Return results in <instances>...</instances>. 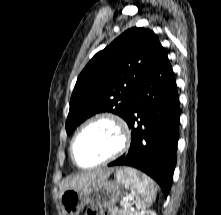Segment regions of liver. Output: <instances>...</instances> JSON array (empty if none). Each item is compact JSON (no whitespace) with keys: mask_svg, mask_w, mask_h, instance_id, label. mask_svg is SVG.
I'll use <instances>...</instances> for the list:
<instances>
[{"mask_svg":"<svg viewBox=\"0 0 221 215\" xmlns=\"http://www.w3.org/2000/svg\"><path fill=\"white\" fill-rule=\"evenodd\" d=\"M112 171L113 169H103L69 177L60 185L61 194L68 189L83 190L89 188L97 182L107 179Z\"/></svg>","mask_w":221,"mask_h":215,"instance_id":"1","label":"liver"}]
</instances>
